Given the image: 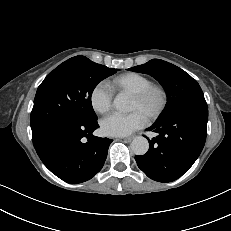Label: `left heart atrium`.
<instances>
[{
  "instance_id": "left-heart-atrium-1",
  "label": "left heart atrium",
  "mask_w": 231,
  "mask_h": 231,
  "mask_svg": "<svg viewBox=\"0 0 231 231\" xmlns=\"http://www.w3.org/2000/svg\"><path fill=\"white\" fill-rule=\"evenodd\" d=\"M146 116L140 111L130 114H111L101 121V130L107 136H127L135 130L143 127Z\"/></svg>"
}]
</instances>
